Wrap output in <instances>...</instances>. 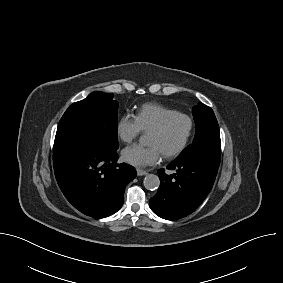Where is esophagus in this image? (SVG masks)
I'll list each match as a JSON object with an SVG mask.
<instances>
[{"label":"esophagus","mask_w":283,"mask_h":283,"mask_svg":"<svg viewBox=\"0 0 283 283\" xmlns=\"http://www.w3.org/2000/svg\"><path fill=\"white\" fill-rule=\"evenodd\" d=\"M146 174H147L146 171H144V170H142V169H137V175H138V176H143V175H146Z\"/></svg>","instance_id":"34e87169"}]
</instances>
